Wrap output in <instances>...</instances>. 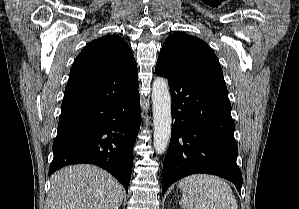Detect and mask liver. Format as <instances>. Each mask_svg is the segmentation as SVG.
<instances>
[{
	"instance_id": "liver-1",
	"label": "liver",
	"mask_w": 299,
	"mask_h": 209,
	"mask_svg": "<svg viewBox=\"0 0 299 209\" xmlns=\"http://www.w3.org/2000/svg\"><path fill=\"white\" fill-rule=\"evenodd\" d=\"M122 185L89 164L65 167L51 177L49 209H119Z\"/></svg>"
}]
</instances>
